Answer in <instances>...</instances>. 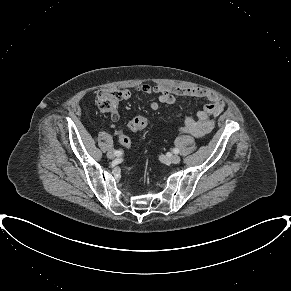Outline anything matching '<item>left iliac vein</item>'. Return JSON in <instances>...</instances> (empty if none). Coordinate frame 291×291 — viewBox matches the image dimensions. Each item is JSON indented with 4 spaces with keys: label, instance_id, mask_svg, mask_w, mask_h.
<instances>
[{
    "label": "left iliac vein",
    "instance_id": "left-iliac-vein-1",
    "mask_svg": "<svg viewBox=\"0 0 291 291\" xmlns=\"http://www.w3.org/2000/svg\"><path fill=\"white\" fill-rule=\"evenodd\" d=\"M169 161H170L171 163H173V164H178V163H180L181 158H180V156H178V155H172V156L169 158Z\"/></svg>",
    "mask_w": 291,
    "mask_h": 291
}]
</instances>
